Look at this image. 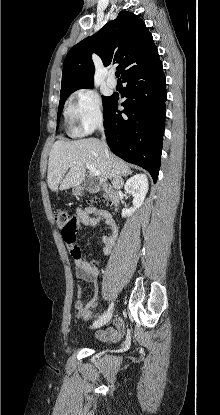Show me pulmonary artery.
Returning a JSON list of instances; mask_svg holds the SVG:
<instances>
[{"instance_id": "obj_1", "label": "pulmonary artery", "mask_w": 220, "mask_h": 415, "mask_svg": "<svg viewBox=\"0 0 220 415\" xmlns=\"http://www.w3.org/2000/svg\"><path fill=\"white\" fill-rule=\"evenodd\" d=\"M107 85L110 88H115L117 86V81L114 78V73L112 71L109 72L108 78H107Z\"/></svg>"}]
</instances>
